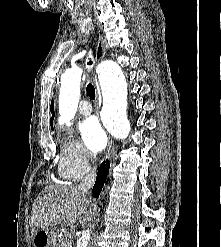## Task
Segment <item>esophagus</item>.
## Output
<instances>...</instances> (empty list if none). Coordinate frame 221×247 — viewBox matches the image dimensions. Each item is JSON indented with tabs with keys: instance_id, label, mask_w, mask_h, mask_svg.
<instances>
[{
	"instance_id": "34e87169",
	"label": "esophagus",
	"mask_w": 221,
	"mask_h": 247,
	"mask_svg": "<svg viewBox=\"0 0 221 247\" xmlns=\"http://www.w3.org/2000/svg\"><path fill=\"white\" fill-rule=\"evenodd\" d=\"M106 53V48L104 44L103 37L99 35L98 42H97V49H96V59L97 61H100L103 59ZM100 98V95H99ZM115 151L114 141L112 139H109L108 142V148H107V155L109 157H112Z\"/></svg>"
}]
</instances>
